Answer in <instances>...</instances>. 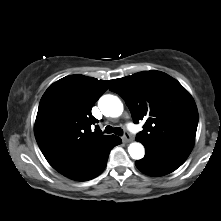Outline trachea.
I'll use <instances>...</instances> for the list:
<instances>
[{"mask_svg": "<svg viewBox=\"0 0 221 221\" xmlns=\"http://www.w3.org/2000/svg\"><path fill=\"white\" fill-rule=\"evenodd\" d=\"M104 133H114L116 135L122 136L123 130L120 127L113 128L111 126H106Z\"/></svg>", "mask_w": 221, "mask_h": 221, "instance_id": "3493384b", "label": "trachea"}]
</instances>
